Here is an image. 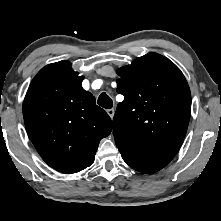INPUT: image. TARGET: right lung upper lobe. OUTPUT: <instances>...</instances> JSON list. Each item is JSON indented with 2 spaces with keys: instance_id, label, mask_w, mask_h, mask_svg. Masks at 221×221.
Listing matches in <instances>:
<instances>
[{
  "instance_id": "cb5924a9",
  "label": "right lung upper lobe",
  "mask_w": 221,
  "mask_h": 221,
  "mask_svg": "<svg viewBox=\"0 0 221 221\" xmlns=\"http://www.w3.org/2000/svg\"><path fill=\"white\" fill-rule=\"evenodd\" d=\"M83 79L69 61L49 64L34 77L23 102L33 145L50 167L66 174L89 167L112 130L109 115L82 88Z\"/></svg>"
}]
</instances>
